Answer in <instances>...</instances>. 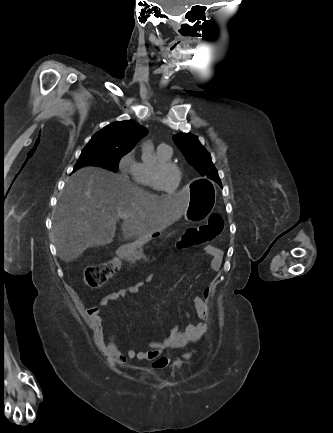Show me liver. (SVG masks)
Returning a JSON list of instances; mask_svg holds the SVG:
<instances>
[{"mask_svg": "<svg viewBox=\"0 0 333 433\" xmlns=\"http://www.w3.org/2000/svg\"><path fill=\"white\" fill-rule=\"evenodd\" d=\"M184 192L155 196L126 177L100 167H83L67 178L57 205L53 232L58 256L66 263L90 247L111 243L119 213L125 239L149 237L180 220L188 210Z\"/></svg>", "mask_w": 333, "mask_h": 433, "instance_id": "liver-1", "label": "liver"}]
</instances>
